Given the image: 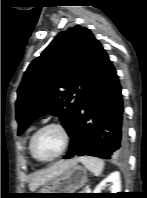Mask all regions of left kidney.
I'll return each mask as SVG.
<instances>
[{
  "label": "left kidney",
  "mask_w": 147,
  "mask_h": 198,
  "mask_svg": "<svg viewBox=\"0 0 147 198\" xmlns=\"http://www.w3.org/2000/svg\"><path fill=\"white\" fill-rule=\"evenodd\" d=\"M107 183H112V186L110 187L111 193L121 192L120 173L115 171L106 177L103 181H101L96 186L93 193H102V190L107 185Z\"/></svg>",
  "instance_id": "obj_1"
}]
</instances>
